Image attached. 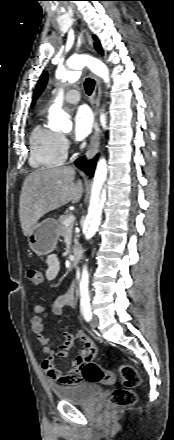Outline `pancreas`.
I'll list each match as a JSON object with an SVG mask.
<instances>
[{"instance_id": "obj_1", "label": "pancreas", "mask_w": 174, "mask_h": 440, "mask_svg": "<svg viewBox=\"0 0 174 440\" xmlns=\"http://www.w3.org/2000/svg\"><path fill=\"white\" fill-rule=\"evenodd\" d=\"M69 216H70V215L66 214V215H61V216L58 218V230H59V234H60L61 236H63V237L66 235V233H67L68 230L71 231L72 228H73V224H72L71 226H69V227H66V226L64 225V220H65L66 218H68Z\"/></svg>"}]
</instances>
